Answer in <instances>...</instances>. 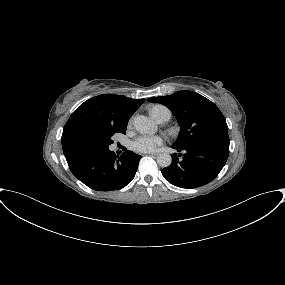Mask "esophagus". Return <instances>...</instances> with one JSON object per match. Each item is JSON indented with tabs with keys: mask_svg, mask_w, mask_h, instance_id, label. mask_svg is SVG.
Instances as JSON below:
<instances>
[{
	"mask_svg": "<svg viewBox=\"0 0 285 285\" xmlns=\"http://www.w3.org/2000/svg\"><path fill=\"white\" fill-rule=\"evenodd\" d=\"M147 155H149V156H158L159 153H148Z\"/></svg>",
	"mask_w": 285,
	"mask_h": 285,
	"instance_id": "1",
	"label": "esophagus"
}]
</instances>
